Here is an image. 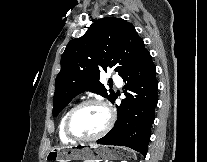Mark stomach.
Wrapping results in <instances>:
<instances>
[{
  "label": "stomach",
  "instance_id": "obj_1",
  "mask_svg": "<svg viewBox=\"0 0 207 162\" xmlns=\"http://www.w3.org/2000/svg\"><path fill=\"white\" fill-rule=\"evenodd\" d=\"M126 149L114 148L108 145L81 144L75 147L53 148L47 154L48 162H70L83 160L84 162H113L129 157Z\"/></svg>",
  "mask_w": 207,
  "mask_h": 162
}]
</instances>
